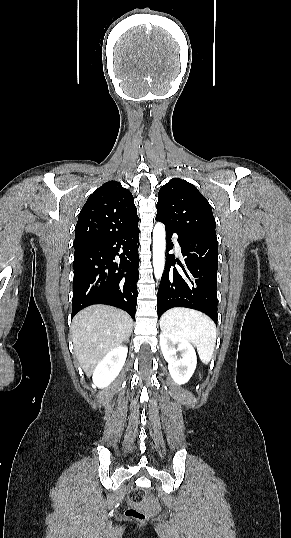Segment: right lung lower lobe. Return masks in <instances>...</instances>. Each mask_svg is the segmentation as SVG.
I'll return each instance as SVG.
<instances>
[{"label":"right lung lower lobe","instance_id":"obj_1","mask_svg":"<svg viewBox=\"0 0 291 538\" xmlns=\"http://www.w3.org/2000/svg\"><path fill=\"white\" fill-rule=\"evenodd\" d=\"M138 226L74 253L72 317L93 304L118 307L135 318L138 281ZM123 251L120 255L119 252ZM119 255L120 263L114 262Z\"/></svg>","mask_w":291,"mask_h":538}]
</instances>
